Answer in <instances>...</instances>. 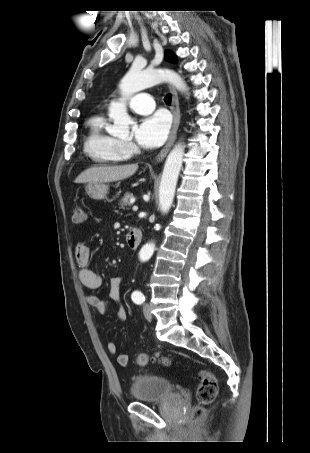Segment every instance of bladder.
<instances>
[{
  "label": "bladder",
  "mask_w": 310,
  "mask_h": 453,
  "mask_svg": "<svg viewBox=\"0 0 310 453\" xmlns=\"http://www.w3.org/2000/svg\"><path fill=\"white\" fill-rule=\"evenodd\" d=\"M130 395L137 402L163 401L175 395L171 381L155 374L137 376L131 386Z\"/></svg>",
  "instance_id": "31cf9c89"
}]
</instances>
